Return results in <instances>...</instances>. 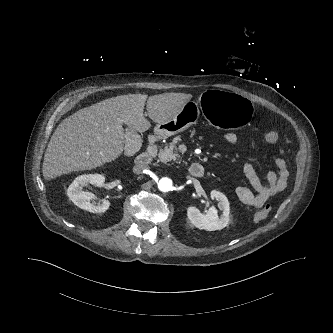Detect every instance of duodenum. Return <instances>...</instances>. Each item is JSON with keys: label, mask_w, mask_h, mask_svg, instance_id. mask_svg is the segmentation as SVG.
I'll list each match as a JSON object with an SVG mask.
<instances>
[{"label": "duodenum", "mask_w": 333, "mask_h": 333, "mask_svg": "<svg viewBox=\"0 0 333 333\" xmlns=\"http://www.w3.org/2000/svg\"><path fill=\"white\" fill-rule=\"evenodd\" d=\"M156 136H151L146 145V150L140 153L135 160L137 169H144L153 159L156 153ZM189 173L195 178H201L204 175V167L201 163H192L189 167Z\"/></svg>", "instance_id": "1"}]
</instances>
